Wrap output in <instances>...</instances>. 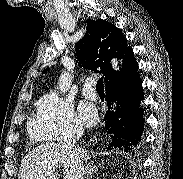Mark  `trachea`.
Here are the masks:
<instances>
[{"label": "trachea", "instance_id": "1", "mask_svg": "<svg viewBox=\"0 0 183 179\" xmlns=\"http://www.w3.org/2000/svg\"><path fill=\"white\" fill-rule=\"evenodd\" d=\"M96 89H97V91H102V92H104L103 77L99 78V80L97 81Z\"/></svg>", "mask_w": 183, "mask_h": 179}]
</instances>
